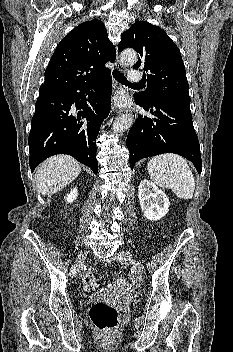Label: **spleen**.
Wrapping results in <instances>:
<instances>
[{
    "label": "spleen",
    "instance_id": "1",
    "mask_svg": "<svg viewBox=\"0 0 233 352\" xmlns=\"http://www.w3.org/2000/svg\"><path fill=\"white\" fill-rule=\"evenodd\" d=\"M147 170L154 183L170 188L178 198L189 200L193 197L195 179L183 157L172 153L153 157Z\"/></svg>",
    "mask_w": 233,
    "mask_h": 352
}]
</instances>
